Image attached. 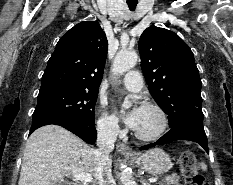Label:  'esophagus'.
<instances>
[{"mask_svg": "<svg viewBox=\"0 0 233 185\" xmlns=\"http://www.w3.org/2000/svg\"><path fill=\"white\" fill-rule=\"evenodd\" d=\"M116 149L119 153L125 155V156H132L134 152L131 148H129L126 144L118 142L116 144Z\"/></svg>", "mask_w": 233, "mask_h": 185, "instance_id": "1", "label": "esophagus"}]
</instances>
